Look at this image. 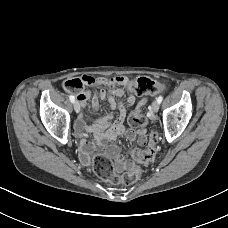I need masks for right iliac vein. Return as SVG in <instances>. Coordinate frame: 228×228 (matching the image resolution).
I'll return each mask as SVG.
<instances>
[{"mask_svg":"<svg viewBox=\"0 0 228 228\" xmlns=\"http://www.w3.org/2000/svg\"><path fill=\"white\" fill-rule=\"evenodd\" d=\"M74 110L76 113H79L80 111V104L77 101L74 103Z\"/></svg>","mask_w":228,"mask_h":228,"instance_id":"obj_1","label":"right iliac vein"}]
</instances>
